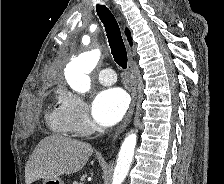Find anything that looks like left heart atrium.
Returning a JSON list of instances; mask_svg holds the SVG:
<instances>
[{"label":"left heart atrium","instance_id":"left-heart-atrium-1","mask_svg":"<svg viewBox=\"0 0 224 184\" xmlns=\"http://www.w3.org/2000/svg\"><path fill=\"white\" fill-rule=\"evenodd\" d=\"M127 107V95L121 89L111 88L96 96L92 105V115L100 125L112 126L123 117Z\"/></svg>","mask_w":224,"mask_h":184}]
</instances>
